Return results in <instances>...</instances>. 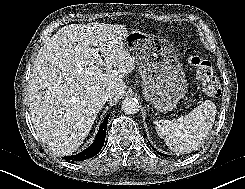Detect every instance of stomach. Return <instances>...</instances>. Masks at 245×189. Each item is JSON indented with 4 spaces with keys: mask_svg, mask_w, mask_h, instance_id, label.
I'll return each mask as SVG.
<instances>
[{
    "mask_svg": "<svg viewBox=\"0 0 245 189\" xmlns=\"http://www.w3.org/2000/svg\"><path fill=\"white\" fill-rule=\"evenodd\" d=\"M123 45L137 63L145 99L160 112L171 111L188 89L175 47L140 31L128 33Z\"/></svg>",
    "mask_w": 245,
    "mask_h": 189,
    "instance_id": "0dacf381",
    "label": "stomach"
}]
</instances>
